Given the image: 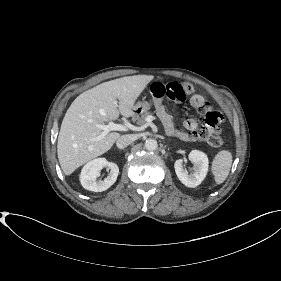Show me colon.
I'll use <instances>...</instances> for the list:
<instances>
[{
  "label": "colon",
  "instance_id": "obj_1",
  "mask_svg": "<svg viewBox=\"0 0 281 281\" xmlns=\"http://www.w3.org/2000/svg\"><path fill=\"white\" fill-rule=\"evenodd\" d=\"M193 91V85L189 82H155L150 87L153 98L172 101H183ZM202 121L203 126L196 133V138L206 140L213 148L221 147L223 140L219 135V127L223 121L222 114L218 111H202Z\"/></svg>",
  "mask_w": 281,
  "mask_h": 281
}]
</instances>
